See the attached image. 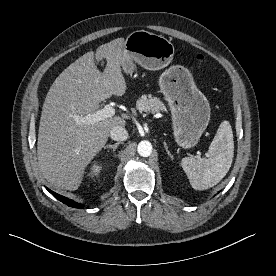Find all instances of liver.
<instances>
[{"instance_id":"6515ba94","label":"liver","mask_w":276,"mask_h":276,"mask_svg":"<svg viewBox=\"0 0 276 276\" xmlns=\"http://www.w3.org/2000/svg\"><path fill=\"white\" fill-rule=\"evenodd\" d=\"M124 38L99 46L69 65L53 82L42 108L37 158L44 178L58 188L74 191L87 165L106 144L114 126L126 121L113 116L93 124L76 121L94 113L112 95L122 96L127 86L121 72ZM106 59L101 73L96 61Z\"/></svg>"}]
</instances>
